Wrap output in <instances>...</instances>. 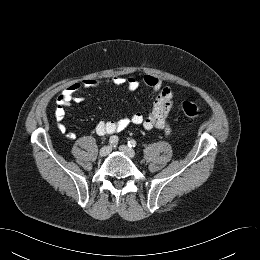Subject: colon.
<instances>
[{"instance_id":"colon-1","label":"colon","mask_w":260,"mask_h":260,"mask_svg":"<svg viewBox=\"0 0 260 260\" xmlns=\"http://www.w3.org/2000/svg\"><path fill=\"white\" fill-rule=\"evenodd\" d=\"M182 111L189 121H194L200 116L199 107L195 103L190 101H185L182 104Z\"/></svg>"}]
</instances>
